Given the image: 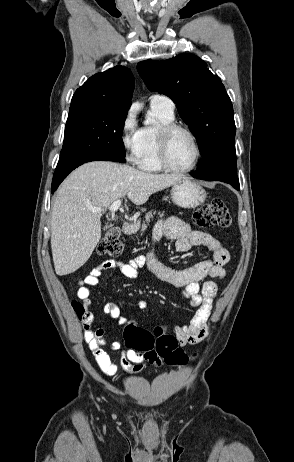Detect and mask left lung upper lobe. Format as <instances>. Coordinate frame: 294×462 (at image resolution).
<instances>
[{
  "instance_id": "obj_1",
  "label": "left lung upper lobe",
  "mask_w": 294,
  "mask_h": 462,
  "mask_svg": "<svg viewBox=\"0 0 294 462\" xmlns=\"http://www.w3.org/2000/svg\"><path fill=\"white\" fill-rule=\"evenodd\" d=\"M137 70L151 91L170 97L196 136L202 156L235 151L233 106L220 78L199 57L181 54L139 62Z\"/></svg>"
}]
</instances>
